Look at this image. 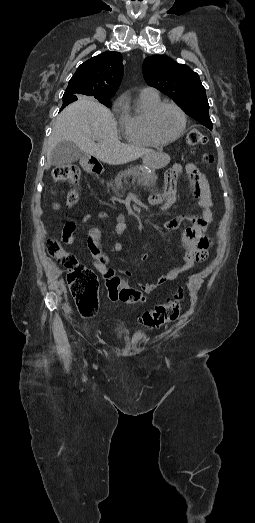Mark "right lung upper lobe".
Wrapping results in <instances>:
<instances>
[{"mask_svg": "<svg viewBox=\"0 0 255 523\" xmlns=\"http://www.w3.org/2000/svg\"><path fill=\"white\" fill-rule=\"evenodd\" d=\"M122 55L108 51L95 56L76 70L63 95V105L81 99H110L118 90L123 77Z\"/></svg>", "mask_w": 255, "mask_h": 523, "instance_id": "cb5924a9", "label": "right lung upper lobe"}]
</instances>
